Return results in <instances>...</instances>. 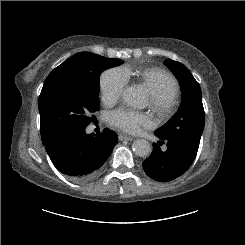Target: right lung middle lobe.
I'll return each instance as SVG.
<instances>
[{"instance_id": "obj_1", "label": "right lung middle lobe", "mask_w": 245, "mask_h": 245, "mask_svg": "<svg viewBox=\"0 0 245 245\" xmlns=\"http://www.w3.org/2000/svg\"><path fill=\"white\" fill-rule=\"evenodd\" d=\"M122 63L120 59L81 52L74 68L47 77L39 97L42 141L86 128L94 120L91 114L99 110L100 74Z\"/></svg>"}]
</instances>
